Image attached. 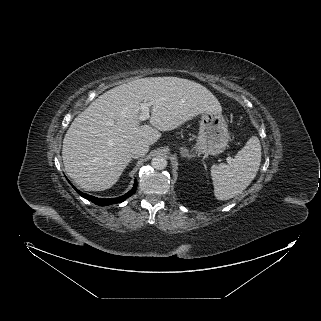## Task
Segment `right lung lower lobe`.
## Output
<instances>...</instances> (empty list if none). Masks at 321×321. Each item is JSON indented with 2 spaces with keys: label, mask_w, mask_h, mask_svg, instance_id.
Returning <instances> with one entry per match:
<instances>
[{
  "label": "right lung lower lobe",
  "mask_w": 321,
  "mask_h": 321,
  "mask_svg": "<svg viewBox=\"0 0 321 321\" xmlns=\"http://www.w3.org/2000/svg\"><path fill=\"white\" fill-rule=\"evenodd\" d=\"M73 188L78 192V194L80 196H82L83 198L93 202L94 204H97V205H100V206H107V205H111V204H114V203H121V202L125 201L128 197L132 196L135 193L136 189H137V181L135 180L133 188L128 193H126L125 195H123L121 197L111 198V199L97 198V197L85 194L83 192H80L74 186H73Z\"/></svg>",
  "instance_id": "98d812e1"
}]
</instances>
